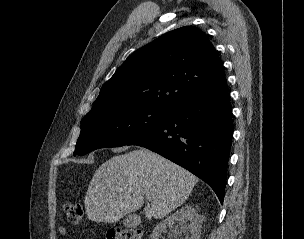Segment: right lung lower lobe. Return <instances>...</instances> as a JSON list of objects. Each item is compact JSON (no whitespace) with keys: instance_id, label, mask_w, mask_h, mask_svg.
Masks as SVG:
<instances>
[{"instance_id":"right-lung-lower-lobe-1","label":"right lung lower lobe","mask_w":304,"mask_h":239,"mask_svg":"<svg viewBox=\"0 0 304 239\" xmlns=\"http://www.w3.org/2000/svg\"><path fill=\"white\" fill-rule=\"evenodd\" d=\"M232 135V108L223 79L169 110L161 125L127 145L150 149L189 170L223 203Z\"/></svg>"}]
</instances>
